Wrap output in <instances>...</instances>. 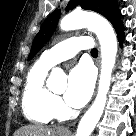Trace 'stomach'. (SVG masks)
Instances as JSON below:
<instances>
[{
	"label": "stomach",
	"instance_id": "obj_1",
	"mask_svg": "<svg viewBox=\"0 0 136 136\" xmlns=\"http://www.w3.org/2000/svg\"><path fill=\"white\" fill-rule=\"evenodd\" d=\"M57 136H69V134H62V133H59Z\"/></svg>",
	"mask_w": 136,
	"mask_h": 136
}]
</instances>
